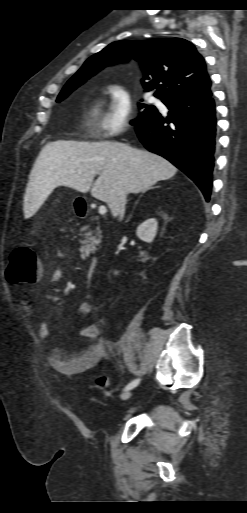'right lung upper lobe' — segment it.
I'll list each match as a JSON object with an SVG mask.
<instances>
[{
	"label": "right lung upper lobe",
	"mask_w": 247,
	"mask_h": 513,
	"mask_svg": "<svg viewBox=\"0 0 247 513\" xmlns=\"http://www.w3.org/2000/svg\"><path fill=\"white\" fill-rule=\"evenodd\" d=\"M129 58L142 63L143 87L156 89L154 95L162 102L212 94L204 58L181 38L113 42L88 58L72 78L85 81L103 67Z\"/></svg>",
	"instance_id": "right-lung-upper-lobe-1"
}]
</instances>
